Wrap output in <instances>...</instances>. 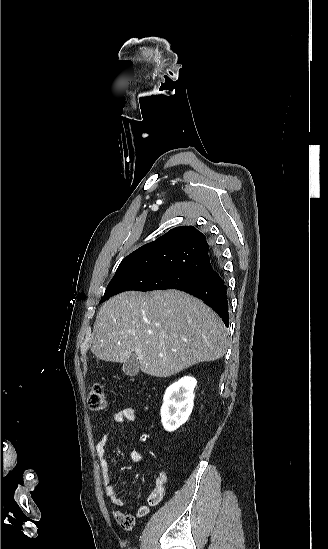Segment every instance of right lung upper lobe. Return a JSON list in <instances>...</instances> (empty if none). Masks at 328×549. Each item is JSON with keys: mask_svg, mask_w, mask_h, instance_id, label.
<instances>
[{"mask_svg": "<svg viewBox=\"0 0 328 549\" xmlns=\"http://www.w3.org/2000/svg\"><path fill=\"white\" fill-rule=\"evenodd\" d=\"M137 267L186 270L207 280L218 275V262L206 237L193 226L176 227L122 260L117 271Z\"/></svg>", "mask_w": 328, "mask_h": 549, "instance_id": "obj_1", "label": "right lung upper lobe"}]
</instances>
